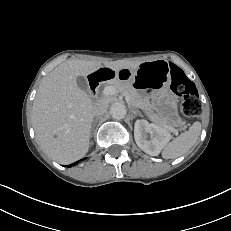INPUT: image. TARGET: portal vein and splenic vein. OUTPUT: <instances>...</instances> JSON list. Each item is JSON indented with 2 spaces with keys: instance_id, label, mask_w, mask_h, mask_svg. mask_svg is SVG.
Wrapping results in <instances>:
<instances>
[{
  "instance_id": "18ae733b",
  "label": "portal vein and splenic vein",
  "mask_w": 231,
  "mask_h": 231,
  "mask_svg": "<svg viewBox=\"0 0 231 231\" xmlns=\"http://www.w3.org/2000/svg\"><path fill=\"white\" fill-rule=\"evenodd\" d=\"M117 92L118 90L114 86H107L103 89V94L105 96L114 95ZM125 99L127 102L130 101V97L128 95L125 96ZM172 132H174V134H178V132L175 129H172Z\"/></svg>"
}]
</instances>
